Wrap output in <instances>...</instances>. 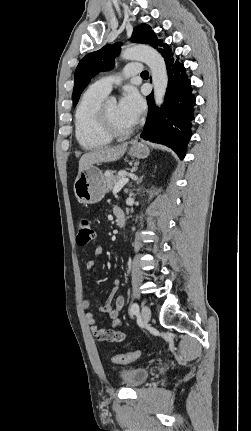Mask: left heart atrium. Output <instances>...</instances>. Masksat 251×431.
<instances>
[{
  "label": "left heart atrium",
  "mask_w": 251,
  "mask_h": 431,
  "mask_svg": "<svg viewBox=\"0 0 251 431\" xmlns=\"http://www.w3.org/2000/svg\"><path fill=\"white\" fill-rule=\"evenodd\" d=\"M119 108L128 120L135 124L144 111L145 103L137 89L127 87L119 101Z\"/></svg>",
  "instance_id": "left-heart-atrium-1"
}]
</instances>
